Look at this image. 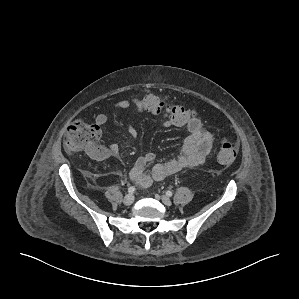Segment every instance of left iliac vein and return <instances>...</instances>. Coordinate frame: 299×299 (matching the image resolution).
<instances>
[{"instance_id":"4c4485c4","label":"left iliac vein","mask_w":299,"mask_h":299,"mask_svg":"<svg viewBox=\"0 0 299 299\" xmlns=\"http://www.w3.org/2000/svg\"><path fill=\"white\" fill-rule=\"evenodd\" d=\"M161 200L167 206H170L172 204L171 199L169 197L165 196V195L161 196Z\"/></svg>"}]
</instances>
